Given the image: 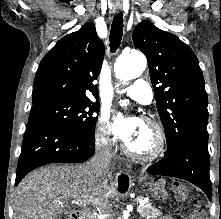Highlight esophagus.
Instances as JSON below:
<instances>
[{"mask_svg": "<svg viewBox=\"0 0 221 219\" xmlns=\"http://www.w3.org/2000/svg\"><path fill=\"white\" fill-rule=\"evenodd\" d=\"M114 7L117 11L121 10V4L119 2H117Z\"/></svg>", "mask_w": 221, "mask_h": 219, "instance_id": "34e87169", "label": "esophagus"}]
</instances>
